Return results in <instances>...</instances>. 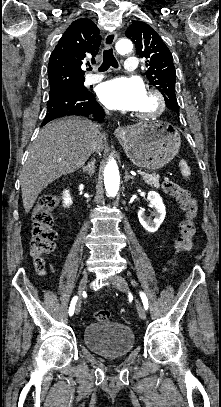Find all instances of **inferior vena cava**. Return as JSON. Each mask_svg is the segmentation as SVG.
<instances>
[{
  "instance_id": "1",
  "label": "inferior vena cava",
  "mask_w": 221,
  "mask_h": 407,
  "mask_svg": "<svg viewBox=\"0 0 221 407\" xmlns=\"http://www.w3.org/2000/svg\"><path fill=\"white\" fill-rule=\"evenodd\" d=\"M96 150H98V138H97V140L95 142L93 152L96 151Z\"/></svg>"
}]
</instances>
